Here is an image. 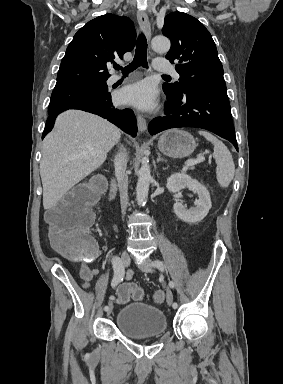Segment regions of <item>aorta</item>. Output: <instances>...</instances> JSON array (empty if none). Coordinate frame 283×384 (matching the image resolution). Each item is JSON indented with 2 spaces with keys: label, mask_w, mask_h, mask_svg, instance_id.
Returning <instances> with one entry per match:
<instances>
[{
  "label": "aorta",
  "mask_w": 283,
  "mask_h": 384,
  "mask_svg": "<svg viewBox=\"0 0 283 384\" xmlns=\"http://www.w3.org/2000/svg\"><path fill=\"white\" fill-rule=\"evenodd\" d=\"M152 48L156 52L166 53L170 49V41L164 36L154 37L152 40ZM151 179L149 160L144 157L139 170L136 187V199L139 205H144L146 203Z\"/></svg>",
  "instance_id": "obj_1"
}]
</instances>
